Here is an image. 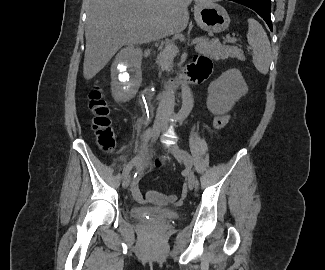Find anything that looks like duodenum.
<instances>
[{
	"mask_svg": "<svg viewBox=\"0 0 325 270\" xmlns=\"http://www.w3.org/2000/svg\"><path fill=\"white\" fill-rule=\"evenodd\" d=\"M149 54H150V49L147 48L145 50V56H148ZM189 81H194V80H192L189 75H182V76L176 78L175 80L171 81L168 85V88L171 92H174L176 89L187 84Z\"/></svg>",
	"mask_w": 325,
	"mask_h": 270,
	"instance_id": "1",
	"label": "duodenum"
}]
</instances>
